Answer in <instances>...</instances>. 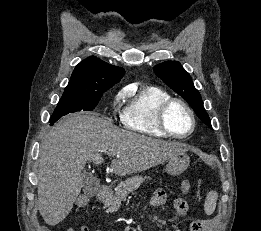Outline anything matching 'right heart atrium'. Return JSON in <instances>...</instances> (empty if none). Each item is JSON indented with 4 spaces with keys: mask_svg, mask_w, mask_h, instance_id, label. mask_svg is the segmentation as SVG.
<instances>
[{
    "mask_svg": "<svg viewBox=\"0 0 261 231\" xmlns=\"http://www.w3.org/2000/svg\"><path fill=\"white\" fill-rule=\"evenodd\" d=\"M125 96V89L124 90H121L117 96H116V101L122 99L123 97Z\"/></svg>",
    "mask_w": 261,
    "mask_h": 231,
    "instance_id": "1",
    "label": "right heart atrium"
}]
</instances>
